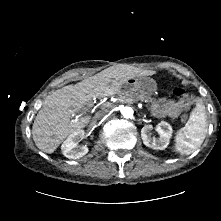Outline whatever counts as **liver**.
<instances>
[{
  "mask_svg": "<svg viewBox=\"0 0 221 221\" xmlns=\"http://www.w3.org/2000/svg\"><path fill=\"white\" fill-rule=\"evenodd\" d=\"M135 74L133 70L109 67L75 85L51 92L32 126L35 145L45 153H53L67 136L89 124L91 116L83 112L92 99L118 93Z\"/></svg>",
  "mask_w": 221,
  "mask_h": 221,
  "instance_id": "obj_1",
  "label": "liver"
}]
</instances>
